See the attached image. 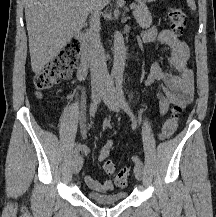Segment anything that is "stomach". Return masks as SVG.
Wrapping results in <instances>:
<instances>
[{
    "label": "stomach",
    "instance_id": "0dacf381",
    "mask_svg": "<svg viewBox=\"0 0 216 217\" xmlns=\"http://www.w3.org/2000/svg\"><path fill=\"white\" fill-rule=\"evenodd\" d=\"M156 0H144V2H155Z\"/></svg>",
    "mask_w": 216,
    "mask_h": 217
}]
</instances>
